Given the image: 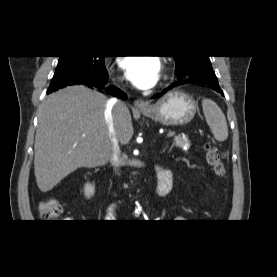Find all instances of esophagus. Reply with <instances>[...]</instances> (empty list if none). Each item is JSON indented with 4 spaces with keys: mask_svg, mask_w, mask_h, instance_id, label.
Instances as JSON below:
<instances>
[{
    "mask_svg": "<svg viewBox=\"0 0 277 277\" xmlns=\"http://www.w3.org/2000/svg\"><path fill=\"white\" fill-rule=\"evenodd\" d=\"M134 106L139 110H145L148 107V103L143 99H137L134 102Z\"/></svg>",
    "mask_w": 277,
    "mask_h": 277,
    "instance_id": "esophagus-1",
    "label": "esophagus"
}]
</instances>
